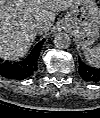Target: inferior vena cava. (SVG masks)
<instances>
[{
	"instance_id": "1",
	"label": "inferior vena cava",
	"mask_w": 100,
	"mask_h": 118,
	"mask_svg": "<svg viewBox=\"0 0 100 118\" xmlns=\"http://www.w3.org/2000/svg\"><path fill=\"white\" fill-rule=\"evenodd\" d=\"M35 30L37 33H43L44 31L48 30V26L44 24H37L35 25Z\"/></svg>"
}]
</instances>
